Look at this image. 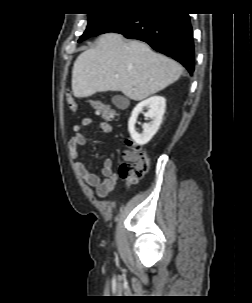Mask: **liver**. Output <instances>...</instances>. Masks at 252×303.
I'll list each match as a JSON object with an SVG mask.
<instances>
[{"instance_id":"obj_1","label":"liver","mask_w":252,"mask_h":303,"mask_svg":"<svg viewBox=\"0 0 252 303\" xmlns=\"http://www.w3.org/2000/svg\"><path fill=\"white\" fill-rule=\"evenodd\" d=\"M183 67L153 52L140 41L122 35H101L96 47L81 53L73 65L72 92L77 98L96 92L120 91L141 101L177 81Z\"/></svg>"}]
</instances>
